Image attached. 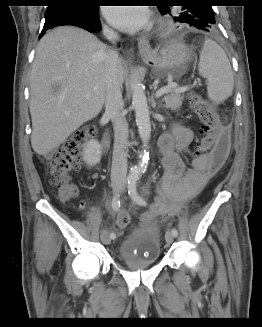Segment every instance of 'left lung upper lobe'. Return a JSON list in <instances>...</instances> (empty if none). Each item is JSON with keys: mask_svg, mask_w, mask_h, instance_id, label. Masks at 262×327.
Instances as JSON below:
<instances>
[{"mask_svg": "<svg viewBox=\"0 0 262 327\" xmlns=\"http://www.w3.org/2000/svg\"><path fill=\"white\" fill-rule=\"evenodd\" d=\"M181 2L186 3L184 0ZM158 10L177 26V28H195L205 31L216 28L214 12L210 5L185 4L177 8L160 5L158 6Z\"/></svg>", "mask_w": 262, "mask_h": 327, "instance_id": "obj_1", "label": "left lung upper lobe"}]
</instances>
